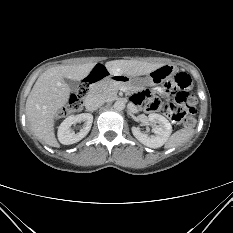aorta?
Wrapping results in <instances>:
<instances>
[{"instance_id": "762f6f07", "label": "aorta", "mask_w": 233, "mask_h": 233, "mask_svg": "<svg viewBox=\"0 0 233 233\" xmlns=\"http://www.w3.org/2000/svg\"><path fill=\"white\" fill-rule=\"evenodd\" d=\"M113 107L117 111H122L125 108V102L122 100H118L114 103Z\"/></svg>"}]
</instances>
